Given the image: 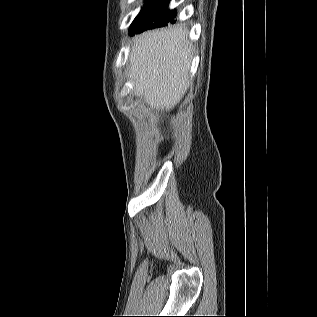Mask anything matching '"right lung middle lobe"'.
<instances>
[{
  "mask_svg": "<svg viewBox=\"0 0 317 317\" xmlns=\"http://www.w3.org/2000/svg\"><path fill=\"white\" fill-rule=\"evenodd\" d=\"M170 0H149L134 19L130 31L137 33L147 28L166 26L169 22L174 23L175 11L168 10Z\"/></svg>",
  "mask_w": 317,
  "mask_h": 317,
  "instance_id": "1",
  "label": "right lung middle lobe"
}]
</instances>
